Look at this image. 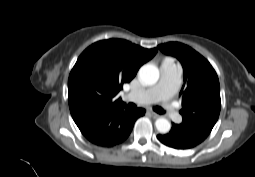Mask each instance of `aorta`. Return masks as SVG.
Here are the masks:
<instances>
[{"mask_svg":"<svg viewBox=\"0 0 255 177\" xmlns=\"http://www.w3.org/2000/svg\"><path fill=\"white\" fill-rule=\"evenodd\" d=\"M159 70L158 68L153 64H145L143 65L138 73V77L141 83L145 85H153L155 84L159 79ZM156 129L160 133H168L171 129V123L166 118H158L155 121Z\"/></svg>","mask_w":255,"mask_h":177,"instance_id":"obj_1","label":"aorta"}]
</instances>
